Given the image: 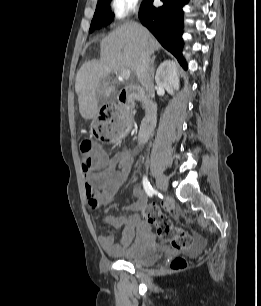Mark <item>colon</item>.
Listing matches in <instances>:
<instances>
[{"mask_svg": "<svg viewBox=\"0 0 261 306\" xmlns=\"http://www.w3.org/2000/svg\"><path fill=\"white\" fill-rule=\"evenodd\" d=\"M107 110L111 116L116 117V122L109 124L103 119H98L92 131V138L99 141H107L110 138L120 139L127 129V117L114 107L108 106ZM79 152L82 160V169L87 172L99 165L96 152L91 139H84L80 143ZM164 206L171 207L170 202H164ZM144 219L156 227L158 238L165 243H169L175 251H186L194 245L191 235L178 228L173 227L168 216L164 214L155 203L146 206L142 211ZM187 267L186 260L176 257L170 263V269L174 271Z\"/></svg>", "mask_w": 261, "mask_h": 306, "instance_id": "colon-1", "label": "colon"}]
</instances>
